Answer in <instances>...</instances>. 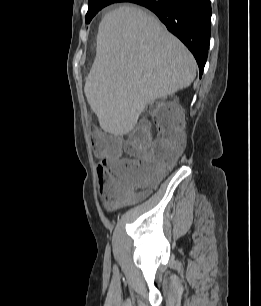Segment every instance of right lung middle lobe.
Listing matches in <instances>:
<instances>
[{"label": "right lung middle lobe", "instance_id": "1", "mask_svg": "<svg viewBox=\"0 0 261 306\" xmlns=\"http://www.w3.org/2000/svg\"><path fill=\"white\" fill-rule=\"evenodd\" d=\"M121 1H92L88 3V12L86 14V23H89L92 18L105 6Z\"/></svg>", "mask_w": 261, "mask_h": 306}]
</instances>
